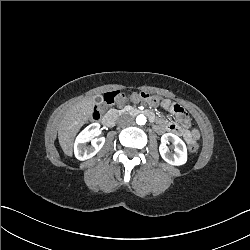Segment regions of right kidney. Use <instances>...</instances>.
<instances>
[{"label":"right kidney","mask_w":250,"mask_h":250,"mask_svg":"<svg viewBox=\"0 0 250 250\" xmlns=\"http://www.w3.org/2000/svg\"><path fill=\"white\" fill-rule=\"evenodd\" d=\"M99 129V123H92L83 131H81L76 137L74 143V154L78 160L83 161L92 158L103 147L105 143V137L92 139L94 136L100 134ZM90 140L92 146L87 148L86 142Z\"/></svg>","instance_id":"ca27d5eb"}]
</instances>
